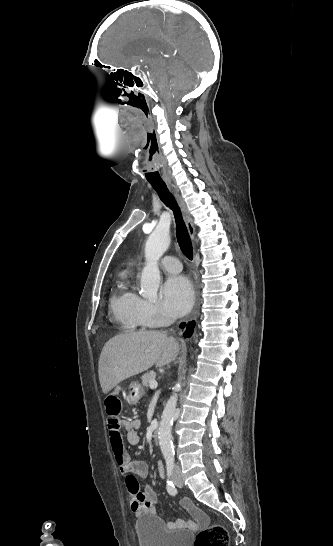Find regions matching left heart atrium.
<instances>
[{
  "instance_id": "obj_1",
  "label": "left heart atrium",
  "mask_w": 333,
  "mask_h": 546,
  "mask_svg": "<svg viewBox=\"0 0 333 546\" xmlns=\"http://www.w3.org/2000/svg\"><path fill=\"white\" fill-rule=\"evenodd\" d=\"M193 302V290L189 280L183 276L169 277L162 287V304L172 317L188 312Z\"/></svg>"
}]
</instances>
